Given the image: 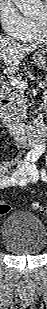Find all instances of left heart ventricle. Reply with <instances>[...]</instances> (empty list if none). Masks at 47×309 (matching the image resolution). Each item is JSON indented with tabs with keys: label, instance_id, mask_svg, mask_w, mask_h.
Returning a JSON list of instances; mask_svg holds the SVG:
<instances>
[{
	"label": "left heart ventricle",
	"instance_id": "left-heart-ventricle-1",
	"mask_svg": "<svg viewBox=\"0 0 47 309\" xmlns=\"http://www.w3.org/2000/svg\"><path fill=\"white\" fill-rule=\"evenodd\" d=\"M45 16H46V13H45V12H42L41 14H39V15L36 17V19H37V20L43 21V20L45 19Z\"/></svg>",
	"mask_w": 47,
	"mask_h": 309
}]
</instances>
